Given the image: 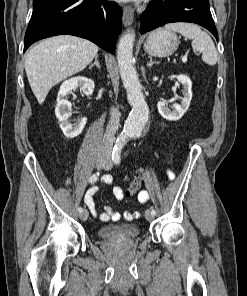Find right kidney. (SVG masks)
I'll return each instance as SVG.
<instances>
[{
	"label": "right kidney",
	"instance_id": "1",
	"mask_svg": "<svg viewBox=\"0 0 247 296\" xmlns=\"http://www.w3.org/2000/svg\"><path fill=\"white\" fill-rule=\"evenodd\" d=\"M77 87L87 96L92 95L94 82L83 76L70 78L62 83L58 92L55 115L59 121L60 128L67 138H75L83 131L87 118H80L74 124L69 122L71 116V103L67 100V95ZM68 110V111H67Z\"/></svg>",
	"mask_w": 247,
	"mask_h": 296
}]
</instances>
